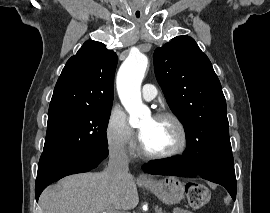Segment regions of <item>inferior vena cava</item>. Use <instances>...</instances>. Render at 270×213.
Listing matches in <instances>:
<instances>
[{
	"label": "inferior vena cava",
	"mask_w": 270,
	"mask_h": 213,
	"mask_svg": "<svg viewBox=\"0 0 270 213\" xmlns=\"http://www.w3.org/2000/svg\"><path fill=\"white\" fill-rule=\"evenodd\" d=\"M129 159L124 147L111 149L106 174L111 179L120 180L127 177Z\"/></svg>",
	"instance_id": "1"
}]
</instances>
